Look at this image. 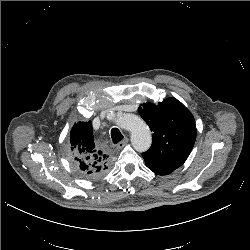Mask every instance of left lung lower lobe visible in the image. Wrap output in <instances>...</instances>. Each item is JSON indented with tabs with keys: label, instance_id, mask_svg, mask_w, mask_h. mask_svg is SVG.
Returning a JSON list of instances; mask_svg holds the SVG:
<instances>
[{
	"label": "left lung lower lobe",
	"instance_id": "0a47b994",
	"mask_svg": "<svg viewBox=\"0 0 250 250\" xmlns=\"http://www.w3.org/2000/svg\"><path fill=\"white\" fill-rule=\"evenodd\" d=\"M154 173H156L157 175H167V174H164V173H161V172H157V171H153Z\"/></svg>",
	"mask_w": 250,
	"mask_h": 250
}]
</instances>
